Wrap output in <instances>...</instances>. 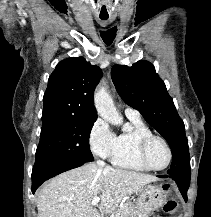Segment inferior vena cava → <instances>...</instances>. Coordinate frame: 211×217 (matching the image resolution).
<instances>
[{
    "label": "inferior vena cava",
    "instance_id": "602c4592",
    "mask_svg": "<svg viewBox=\"0 0 211 217\" xmlns=\"http://www.w3.org/2000/svg\"><path fill=\"white\" fill-rule=\"evenodd\" d=\"M97 165L100 166V167H103V166H105V163L103 161H101V160H98Z\"/></svg>",
    "mask_w": 211,
    "mask_h": 217
}]
</instances>
